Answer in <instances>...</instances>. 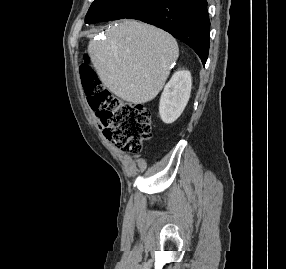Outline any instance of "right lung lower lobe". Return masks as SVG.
Wrapping results in <instances>:
<instances>
[{"label":"right lung lower lobe","mask_w":286,"mask_h":269,"mask_svg":"<svg viewBox=\"0 0 286 269\" xmlns=\"http://www.w3.org/2000/svg\"><path fill=\"white\" fill-rule=\"evenodd\" d=\"M128 18L155 25L189 45L205 65L210 21L206 0H153Z\"/></svg>","instance_id":"obj_1"}]
</instances>
